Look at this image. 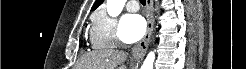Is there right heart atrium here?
<instances>
[{"label": "right heart atrium", "instance_id": "right-heart-atrium-1", "mask_svg": "<svg viewBox=\"0 0 246 69\" xmlns=\"http://www.w3.org/2000/svg\"><path fill=\"white\" fill-rule=\"evenodd\" d=\"M117 19L104 9H99L92 17L91 42L93 47H113L118 44Z\"/></svg>", "mask_w": 246, "mask_h": 69}]
</instances>
